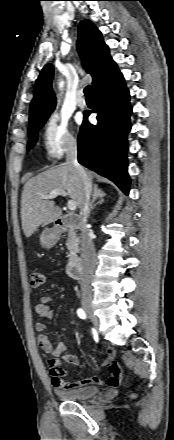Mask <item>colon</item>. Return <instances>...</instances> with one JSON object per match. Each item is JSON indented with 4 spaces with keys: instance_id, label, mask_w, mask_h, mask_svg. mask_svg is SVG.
I'll return each instance as SVG.
<instances>
[{
    "instance_id": "colon-1",
    "label": "colon",
    "mask_w": 174,
    "mask_h": 440,
    "mask_svg": "<svg viewBox=\"0 0 174 440\" xmlns=\"http://www.w3.org/2000/svg\"><path fill=\"white\" fill-rule=\"evenodd\" d=\"M45 276L41 270L34 269L30 272V284L32 287H39L44 283Z\"/></svg>"
}]
</instances>
